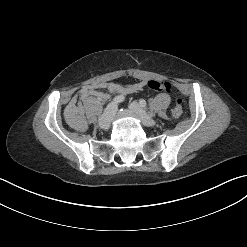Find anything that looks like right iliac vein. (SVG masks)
I'll use <instances>...</instances> for the list:
<instances>
[{"mask_svg": "<svg viewBox=\"0 0 247 247\" xmlns=\"http://www.w3.org/2000/svg\"><path fill=\"white\" fill-rule=\"evenodd\" d=\"M116 109H117V106L115 103H110L107 106L104 113L99 119L98 125L101 129L108 130L110 128Z\"/></svg>", "mask_w": 247, "mask_h": 247, "instance_id": "63e3f726", "label": "right iliac vein"}]
</instances>
